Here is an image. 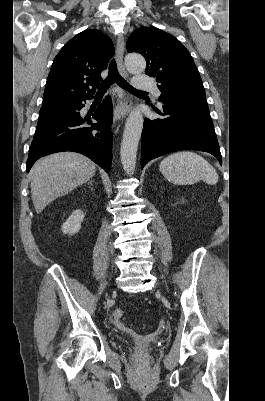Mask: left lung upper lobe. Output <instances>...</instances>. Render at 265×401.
<instances>
[{
    "label": "left lung upper lobe",
    "mask_w": 265,
    "mask_h": 401,
    "mask_svg": "<svg viewBox=\"0 0 265 401\" xmlns=\"http://www.w3.org/2000/svg\"><path fill=\"white\" fill-rule=\"evenodd\" d=\"M127 50L146 58L145 73L156 77L160 83V101L206 99L200 74L189 51L171 34L156 27H141L130 35Z\"/></svg>",
    "instance_id": "1"
}]
</instances>
